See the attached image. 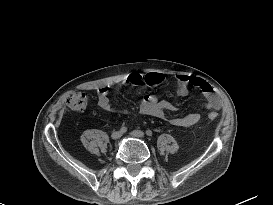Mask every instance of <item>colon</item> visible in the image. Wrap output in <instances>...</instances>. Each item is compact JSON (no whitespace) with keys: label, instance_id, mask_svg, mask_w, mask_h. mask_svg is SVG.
Returning <instances> with one entry per match:
<instances>
[{"label":"colon","instance_id":"5ec220e1","mask_svg":"<svg viewBox=\"0 0 273 205\" xmlns=\"http://www.w3.org/2000/svg\"><path fill=\"white\" fill-rule=\"evenodd\" d=\"M65 103L67 107L73 111H82L88 104V95L83 91H72L66 96ZM208 118L215 120L217 114L213 112L209 113Z\"/></svg>","mask_w":273,"mask_h":205}]
</instances>
